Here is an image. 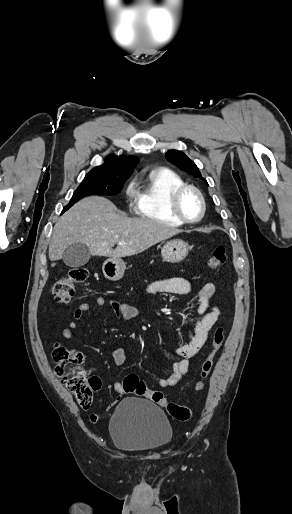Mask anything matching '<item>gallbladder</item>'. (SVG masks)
<instances>
[{"instance_id": "obj_1", "label": "gallbladder", "mask_w": 292, "mask_h": 514, "mask_svg": "<svg viewBox=\"0 0 292 514\" xmlns=\"http://www.w3.org/2000/svg\"><path fill=\"white\" fill-rule=\"evenodd\" d=\"M90 258L91 254L88 246H86V244H81V242L67 246L62 256L64 264L69 266V268H80V266L87 264Z\"/></svg>"}]
</instances>
